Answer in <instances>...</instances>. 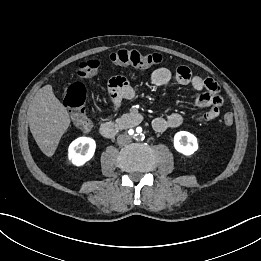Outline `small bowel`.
<instances>
[{
    "instance_id": "1",
    "label": "small bowel",
    "mask_w": 261,
    "mask_h": 261,
    "mask_svg": "<svg viewBox=\"0 0 261 261\" xmlns=\"http://www.w3.org/2000/svg\"><path fill=\"white\" fill-rule=\"evenodd\" d=\"M150 80L155 86H163L173 81L178 85L190 86L194 90L202 92L197 97L196 104L207 110L197 116L196 120L210 121L218 117L223 99L219 93V86L214 80L193 75L186 66H179L174 74L168 68H157L152 72ZM108 93L112 104L117 106L122 100L133 98L135 90L124 77L116 76L109 81ZM182 122L181 114L173 112L165 117H156L152 126L155 131L164 132L169 128L179 127Z\"/></svg>"
}]
</instances>
